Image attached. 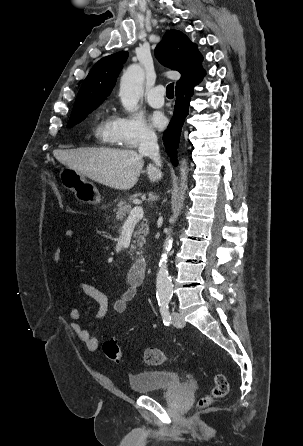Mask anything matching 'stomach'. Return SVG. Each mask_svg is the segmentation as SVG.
Masks as SVG:
<instances>
[{
	"mask_svg": "<svg viewBox=\"0 0 303 446\" xmlns=\"http://www.w3.org/2000/svg\"><path fill=\"white\" fill-rule=\"evenodd\" d=\"M60 181L64 188L74 192L79 202L86 204L100 203L101 196L96 186L88 182L84 175L66 166L59 173Z\"/></svg>",
	"mask_w": 303,
	"mask_h": 446,
	"instance_id": "0dacf381",
	"label": "stomach"
}]
</instances>
